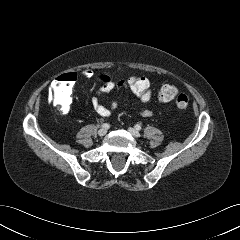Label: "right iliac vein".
I'll use <instances>...</instances> for the list:
<instances>
[{"mask_svg":"<svg viewBox=\"0 0 240 240\" xmlns=\"http://www.w3.org/2000/svg\"><path fill=\"white\" fill-rule=\"evenodd\" d=\"M106 133H107V129H106V128H101V129L98 131V135H99V136H104Z\"/></svg>","mask_w":240,"mask_h":240,"instance_id":"obj_1","label":"right iliac vein"}]
</instances>
